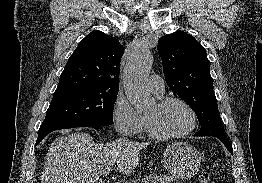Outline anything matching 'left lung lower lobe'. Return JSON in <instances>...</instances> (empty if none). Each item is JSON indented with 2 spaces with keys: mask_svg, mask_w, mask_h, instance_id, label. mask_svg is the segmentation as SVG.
Returning a JSON list of instances; mask_svg holds the SVG:
<instances>
[{
  "mask_svg": "<svg viewBox=\"0 0 262 183\" xmlns=\"http://www.w3.org/2000/svg\"><path fill=\"white\" fill-rule=\"evenodd\" d=\"M214 137L219 138V139L224 143V145H225L226 148L229 150V152H230L231 154H233L232 146H231L229 140H228L226 137H223V136H214Z\"/></svg>",
  "mask_w": 262,
  "mask_h": 183,
  "instance_id": "0a47b994",
  "label": "left lung lower lobe"
}]
</instances>
